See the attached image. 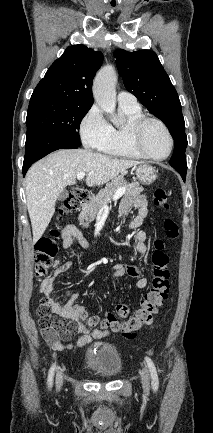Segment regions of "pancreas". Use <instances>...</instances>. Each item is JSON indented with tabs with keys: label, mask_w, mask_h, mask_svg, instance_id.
I'll list each match as a JSON object with an SVG mask.
<instances>
[{
	"label": "pancreas",
	"mask_w": 213,
	"mask_h": 433,
	"mask_svg": "<svg viewBox=\"0 0 213 433\" xmlns=\"http://www.w3.org/2000/svg\"><path fill=\"white\" fill-rule=\"evenodd\" d=\"M124 187L126 189L125 196H138L143 188L137 183H127L123 176L115 177L102 189L98 195L93 196L87 204H84L82 211L79 214L78 220L83 227H88L105 203H108L114 196L115 192Z\"/></svg>",
	"instance_id": "cf45deb5"
}]
</instances>
